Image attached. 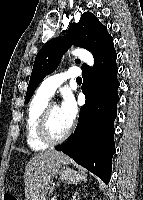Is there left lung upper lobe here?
<instances>
[{
    "label": "left lung upper lobe",
    "mask_w": 143,
    "mask_h": 200,
    "mask_svg": "<svg viewBox=\"0 0 143 200\" xmlns=\"http://www.w3.org/2000/svg\"><path fill=\"white\" fill-rule=\"evenodd\" d=\"M111 40L112 37L108 34L106 27L99 22L95 15L90 12L83 13L79 22L72 23L64 36L46 42L36 55L25 103L29 101L43 78L57 68L62 55L71 45L86 48L95 58ZM76 63L79 64L80 60H76ZM86 66L83 64L82 68Z\"/></svg>",
    "instance_id": "1"
}]
</instances>
